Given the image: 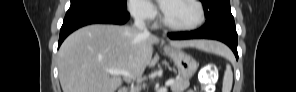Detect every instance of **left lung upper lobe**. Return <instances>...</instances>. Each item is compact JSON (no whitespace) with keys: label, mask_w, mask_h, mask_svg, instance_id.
I'll return each mask as SVG.
<instances>
[{"label":"left lung upper lobe","mask_w":296,"mask_h":92,"mask_svg":"<svg viewBox=\"0 0 296 92\" xmlns=\"http://www.w3.org/2000/svg\"><path fill=\"white\" fill-rule=\"evenodd\" d=\"M203 3L206 22L201 27L212 32L223 27H234L235 22L230 10V0H200Z\"/></svg>","instance_id":"1"}]
</instances>
